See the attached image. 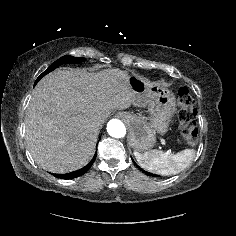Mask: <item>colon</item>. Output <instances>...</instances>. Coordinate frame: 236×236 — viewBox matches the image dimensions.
Instances as JSON below:
<instances>
[{"mask_svg":"<svg viewBox=\"0 0 236 236\" xmlns=\"http://www.w3.org/2000/svg\"><path fill=\"white\" fill-rule=\"evenodd\" d=\"M179 111V134L189 146H196L199 142V130L195 126L196 110L194 100L187 88L178 90Z\"/></svg>","mask_w":236,"mask_h":236,"instance_id":"obj_1","label":"colon"}]
</instances>
